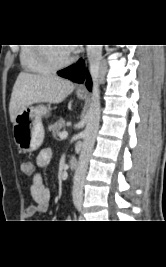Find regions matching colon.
I'll return each mask as SVG.
<instances>
[{
  "label": "colon",
  "instance_id": "colon-1",
  "mask_svg": "<svg viewBox=\"0 0 166 267\" xmlns=\"http://www.w3.org/2000/svg\"><path fill=\"white\" fill-rule=\"evenodd\" d=\"M33 169H34V164L32 162L23 163L22 170L25 173V178H32Z\"/></svg>",
  "mask_w": 166,
  "mask_h": 267
}]
</instances>
